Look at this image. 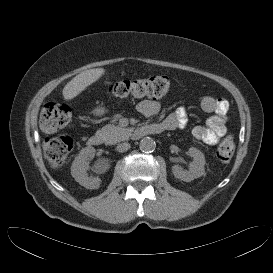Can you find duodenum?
Wrapping results in <instances>:
<instances>
[{"label": "duodenum", "instance_id": "1", "mask_svg": "<svg viewBox=\"0 0 273 273\" xmlns=\"http://www.w3.org/2000/svg\"><path fill=\"white\" fill-rule=\"evenodd\" d=\"M167 130V127L162 123H151L140 125L135 128V136L142 138L148 134H160ZM105 142V135L102 133H96L89 137L88 144L90 146H100Z\"/></svg>", "mask_w": 273, "mask_h": 273}]
</instances>
